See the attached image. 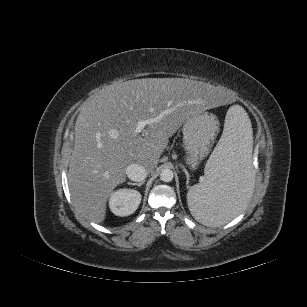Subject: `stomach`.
I'll return each instance as SVG.
<instances>
[{
	"label": "stomach",
	"instance_id": "1",
	"mask_svg": "<svg viewBox=\"0 0 307 307\" xmlns=\"http://www.w3.org/2000/svg\"><path fill=\"white\" fill-rule=\"evenodd\" d=\"M218 131V120L208 112L190 115L183 123V146L187 164L195 169L208 155L212 141Z\"/></svg>",
	"mask_w": 307,
	"mask_h": 307
}]
</instances>
